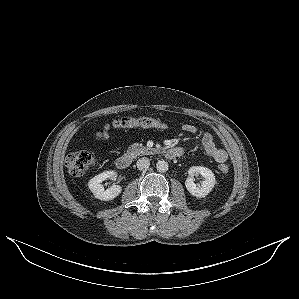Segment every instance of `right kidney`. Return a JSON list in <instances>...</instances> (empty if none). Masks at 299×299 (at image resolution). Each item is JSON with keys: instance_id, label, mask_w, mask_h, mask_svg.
I'll return each instance as SVG.
<instances>
[{"instance_id": "ca27d5eb", "label": "right kidney", "mask_w": 299, "mask_h": 299, "mask_svg": "<svg viewBox=\"0 0 299 299\" xmlns=\"http://www.w3.org/2000/svg\"><path fill=\"white\" fill-rule=\"evenodd\" d=\"M115 177H117L116 172L106 171L96 175L95 177L89 180L88 187L95 196V198L103 201H109L116 198L121 193L122 187L119 185H112L110 188L105 189L101 184L107 178Z\"/></svg>"}]
</instances>
